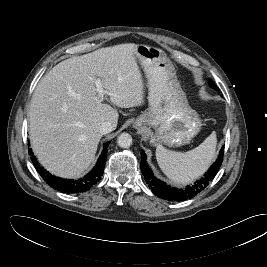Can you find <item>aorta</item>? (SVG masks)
Listing matches in <instances>:
<instances>
[{"mask_svg":"<svg viewBox=\"0 0 267 267\" xmlns=\"http://www.w3.org/2000/svg\"><path fill=\"white\" fill-rule=\"evenodd\" d=\"M117 143L121 148H128L132 145V137L128 133H122L119 135Z\"/></svg>","mask_w":267,"mask_h":267,"instance_id":"762f6f07","label":"aorta"}]
</instances>
